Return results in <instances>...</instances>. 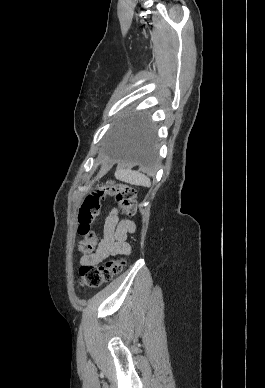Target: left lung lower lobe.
Masks as SVG:
<instances>
[{"label": "left lung lower lobe", "mask_w": 265, "mask_h": 388, "mask_svg": "<svg viewBox=\"0 0 265 388\" xmlns=\"http://www.w3.org/2000/svg\"><path fill=\"white\" fill-rule=\"evenodd\" d=\"M155 133L142 117L124 122L110 137L107 150L116 158L152 167L155 163Z\"/></svg>", "instance_id": "0a47b994"}]
</instances>
